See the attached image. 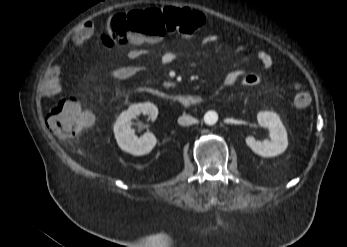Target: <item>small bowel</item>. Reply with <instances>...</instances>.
Listing matches in <instances>:
<instances>
[{
    "instance_id": "c3829d8e",
    "label": "small bowel",
    "mask_w": 347,
    "mask_h": 247,
    "mask_svg": "<svg viewBox=\"0 0 347 247\" xmlns=\"http://www.w3.org/2000/svg\"><path fill=\"white\" fill-rule=\"evenodd\" d=\"M94 25L91 21H87L78 27L72 34L70 42L72 45H81L86 42L93 34ZM219 36L209 34L203 39L205 45L214 44L218 41ZM139 45V43H137ZM126 56L131 60L148 59L151 53L142 48H132L126 51ZM175 59V54L171 51L163 52L160 61L163 64H169ZM257 59L264 69H268L273 64V57L266 51L257 54ZM147 68V64H130L113 67L109 71V77L114 80H129L141 74ZM61 72V64L53 63L49 65L43 74L42 87L48 96L57 94L60 90L59 75ZM261 82V76L250 71H233L226 75L225 84L229 87L238 84L245 86H256Z\"/></svg>"
}]
</instances>
